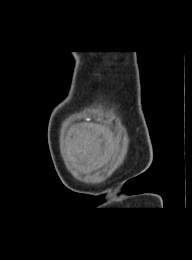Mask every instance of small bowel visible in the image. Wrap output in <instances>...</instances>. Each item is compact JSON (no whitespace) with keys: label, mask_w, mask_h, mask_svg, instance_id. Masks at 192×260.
<instances>
[{"label":"small bowel","mask_w":192,"mask_h":260,"mask_svg":"<svg viewBox=\"0 0 192 260\" xmlns=\"http://www.w3.org/2000/svg\"><path fill=\"white\" fill-rule=\"evenodd\" d=\"M81 140L89 145V148L85 149L86 153L92 152L94 150V142L88 135H82Z\"/></svg>","instance_id":"c3829d8e"}]
</instances>
